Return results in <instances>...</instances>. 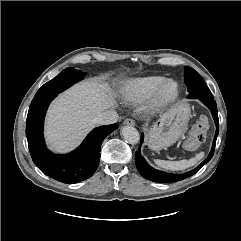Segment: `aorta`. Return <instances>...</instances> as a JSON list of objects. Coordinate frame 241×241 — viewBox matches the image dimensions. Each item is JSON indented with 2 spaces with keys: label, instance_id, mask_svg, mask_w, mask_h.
I'll use <instances>...</instances> for the list:
<instances>
[{
  "label": "aorta",
  "instance_id": "1",
  "mask_svg": "<svg viewBox=\"0 0 241 241\" xmlns=\"http://www.w3.org/2000/svg\"><path fill=\"white\" fill-rule=\"evenodd\" d=\"M121 134L130 144H137L140 141L139 132L132 126H124L121 130Z\"/></svg>",
  "mask_w": 241,
  "mask_h": 241
}]
</instances>
